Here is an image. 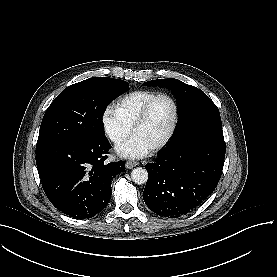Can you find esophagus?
<instances>
[{
    "label": "esophagus",
    "instance_id": "obj_1",
    "mask_svg": "<svg viewBox=\"0 0 277 277\" xmlns=\"http://www.w3.org/2000/svg\"><path fill=\"white\" fill-rule=\"evenodd\" d=\"M125 165L127 169H132L133 167H136L137 165H139V162L127 161Z\"/></svg>",
    "mask_w": 277,
    "mask_h": 277
}]
</instances>
